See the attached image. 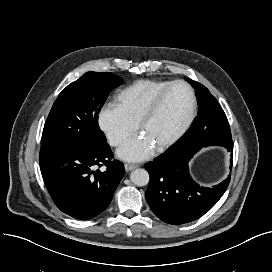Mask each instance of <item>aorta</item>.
<instances>
[{"mask_svg":"<svg viewBox=\"0 0 272 272\" xmlns=\"http://www.w3.org/2000/svg\"><path fill=\"white\" fill-rule=\"evenodd\" d=\"M130 180L136 186H145L149 182V173L145 169H136L131 172Z\"/></svg>","mask_w":272,"mask_h":272,"instance_id":"aorta-1","label":"aorta"}]
</instances>
